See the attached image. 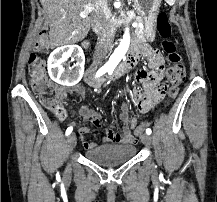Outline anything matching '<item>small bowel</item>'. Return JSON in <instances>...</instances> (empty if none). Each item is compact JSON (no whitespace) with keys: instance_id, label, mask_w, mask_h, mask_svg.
Here are the masks:
<instances>
[{"instance_id":"1","label":"small bowel","mask_w":217,"mask_h":202,"mask_svg":"<svg viewBox=\"0 0 217 202\" xmlns=\"http://www.w3.org/2000/svg\"><path fill=\"white\" fill-rule=\"evenodd\" d=\"M139 47V53L141 55H145L149 58L150 65L152 70L147 72L146 70H139L133 76V81L136 83H142L147 91L146 95H163V89L160 87H156V83L158 80L157 73L159 72L162 66V58L158 51L152 49L148 44L145 43H137ZM72 91L83 95L84 88L80 85L75 86L72 88ZM59 95H64L63 91L59 90ZM133 99L135 101L136 107L139 112L145 113L148 111L149 107L151 106V101H143L141 95L138 91L133 92ZM65 101L61 100V102ZM77 113L88 122L93 123L96 126L101 125V113L98 110H95L87 105H82L78 108ZM59 120H64L68 116V111L66 109L61 108L59 114H57ZM120 120L123 124L121 132H116L111 128H105V135L103 137L104 143H112L118 145H133L137 142V136L142 134L143 131H135L132 132V126H145V124L137 125V119L135 117L130 118V106L127 102H123L120 105V113H119ZM88 132L87 128L80 129V135L83 139V135ZM86 149H91L94 147V144H87L85 141L83 143Z\"/></svg>"}]
</instances>
